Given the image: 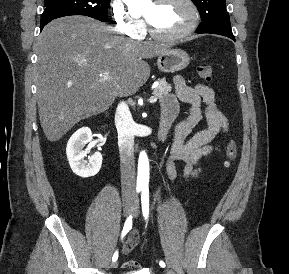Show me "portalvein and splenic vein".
<instances>
[{
	"label": "portal vein and splenic vein",
	"mask_w": 289,
	"mask_h": 274,
	"mask_svg": "<svg viewBox=\"0 0 289 274\" xmlns=\"http://www.w3.org/2000/svg\"><path fill=\"white\" fill-rule=\"evenodd\" d=\"M103 77H104L105 80H109L110 79V77L107 74L103 75ZM157 99L158 98L153 95V96L150 97L149 102L150 103H155L157 101Z\"/></svg>",
	"instance_id": "obj_1"
}]
</instances>
